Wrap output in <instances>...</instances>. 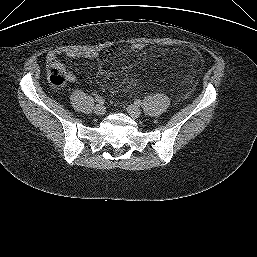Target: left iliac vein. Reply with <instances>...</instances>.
Here are the masks:
<instances>
[{
    "instance_id": "4c4485c4",
    "label": "left iliac vein",
    "mask_w": 257,
    "mask_h": 257,
    "mask_svg": "<svg viewBox=\"0 0 257 257\" xmlns=\"http://www.w3.org/2000/svg\"><path fill=\"white\" fill-rule=\"evenodd\" d=\"M127 112L133 119H138L141 115V110L135 105H128Z\"/></svg>"
}]
</instances>
